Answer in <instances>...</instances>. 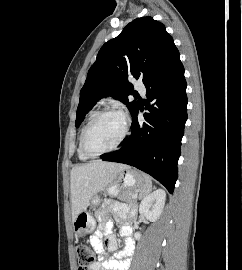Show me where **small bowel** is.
<instances>
[{"instance_id": "1", "label": "small bowel", "mask_w": 242, "mask_h": 270, "mask_svg": "<svg viewBox=\"0 0 242 270\" xmlns=\"http://www.w3.org/2000/svg\"><path fill=\"white\" fill-rule=\"evenodd\" d=\"M111 210L122 221L120 234L124 238V248L115 254L114 259L106 257L103 238H106V247L109 251L117 250L118 243L113 234V222L109 219H101L98 229L90 239L99 259L91 265L89 270H126L129 267V258L134 250L130 226L134 213L129 207L120 204H115Z\"/></svg>"}]
</instances>
